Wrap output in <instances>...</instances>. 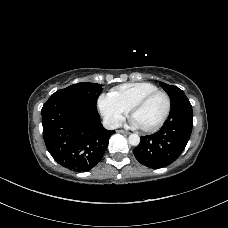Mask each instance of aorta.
Masks as SVG:
<instances>
[{
    "label": "aorta",
    "mask_w": 228,
    "mask_h": 228,
    "mask_svg": "<svg viewBox=\"0 0 228 228\" xmlns=\"http://www.w3.org/2000/svg\"><path fill=\"white\" fill-rule=\"evenodd\" d=\"M128 141L132 146H137L140 143V137L138 134H131L129 135Z\"/></svg>",
    "instance_id": "obj_1"
}]
</instances>
